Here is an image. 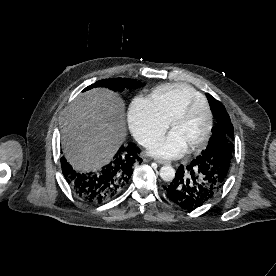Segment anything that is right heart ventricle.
<instances>
[{
	"label": "right heart ventricle",
	"instance_id": "e07e8e85",
	"mask_svg": "<svg viewBox=\"0 0 276 276\" xmlns=\"http://www.w3.org/2000/svg\"><path fill=\"white\" fill-rule=\"evenodd\" d=\"M150 100L168 122L191 101H206L198 91L184 83L160 85L152 91Z\"/></svg>",
	"mask_w": 276,
	"mask_h": 276
}]
</instances>
